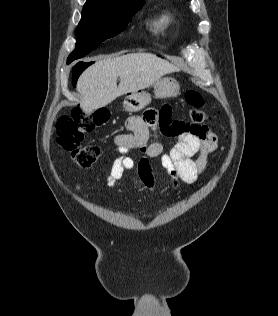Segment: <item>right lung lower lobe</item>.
<instances>
[{"label": "right lung lower lobe", "instance_id": "right-lung-lower-lobe-1", "mask_svg": "<svg viewBox=\"0 0 278 316\" xmlns=\"http://www.w3.org/2000/svg\"><path fill=\"white\" fill-rule=\"evenodd\" d=\"M77 77H78V74L75 73V74H74V78L76 79Z\"/></svg>", "mask_w": 278, "mask_h": 316}]
</instances>
